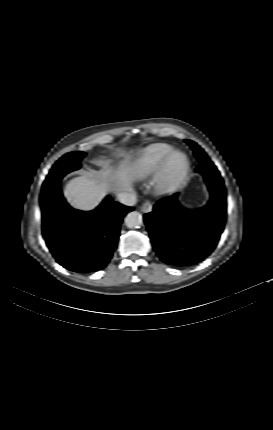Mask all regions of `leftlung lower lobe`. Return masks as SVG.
<instances>
[{"mask_svg":"<svg viewBox=\"0 0 273 430\" xmlns=\"http://www.w3.org/2000/svg\"><path fill=\"white\" fill-rule=\"evenodd\" d=\"M210 191V200L199 210L181 207L177 194L158 201L144 215L150 239L160 259L176 267L194 265L215 249L226 220L224 182L211 161L199 163Z\"/></svg>","mask_w":273,"mask_h":430,"instance_id":"obj_1","label":"left lung lower lobe"}]
</instances>
